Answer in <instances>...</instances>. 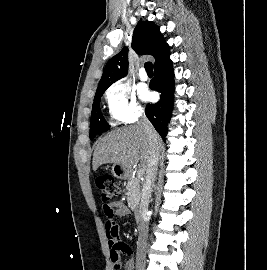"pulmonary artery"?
Wrapping results in <instances>:
<instances>
[{
    "instance_id": "pulmonary-artery-1",
    "label": "pulmonary artery",
    "mask_w": 267,
    "mask_h": 270,
    "mask_svg": "<svg viewBox=\"0 0 267 270\" xmlns=\"http://www.w3.org/2000/svg\"><path fill=\"white\" fill-rule=\"evenodd\" d=\"M139 78H140L141 80H143V81H146V80L148 79V75H147V73H146V71H145L144 68H141V69L139 70Z\"/></svg>"
}]
</instances>
